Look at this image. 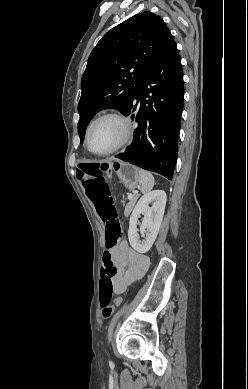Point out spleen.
<instances>
[{
  "instance_id": "1",
  "label": "spleen",
  "mask_w": 248,
  "mask_h": 389,
  "mask_svg": "<svg viewBox=\"0 0 248 389\" xmlns=\"http://www.w3.org/2000/svg\"><path fill=\"white\" fill-rule=\"evenodd\" d=\"M138 174L141 180V192L143 194L149 193L153 189L155 184L153 175L143 169H139Z\"/></svg>"
}]
</instances>
